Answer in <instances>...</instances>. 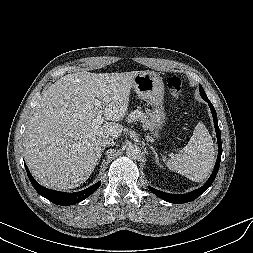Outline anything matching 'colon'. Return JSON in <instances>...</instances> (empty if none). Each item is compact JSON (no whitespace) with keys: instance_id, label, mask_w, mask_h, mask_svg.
<instances>
[{"instance_id":"obj_1","label":"colon","mask_w":253,"mask_h":253,"mask_svg":"<svg viewBox=\"0 0 253 253\" xmlns=\"http://www.w3.org/2000/svg\"><path fill=\"white\" fill-rule=\"evenodd\" d=\"M167 88L174 97H179L182 88V82L180 78L176 76H169L166 80Z\"/></svg>"}]
</instances>
